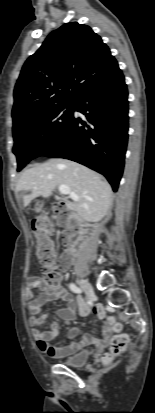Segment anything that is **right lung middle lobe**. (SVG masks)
<instances>
[{"label":"right lung middle lobe","mask_w":155,"mask_h":413,"mask_svg":"<svg viewBox=\"0 0 155 413\" xmlns=\"http://www.w3.org/2000/svg\"><path fill=\"white\" fill-rule=\"evenodd\" d=\"M72 114L73 104H63L13 126L17 171L40 156L60 136Z\"/></svg>","instance_id":"right-lung-middle-lobe-1"}]
</instances>
